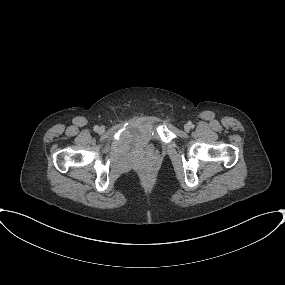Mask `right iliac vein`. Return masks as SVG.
Returning <instances> with one entry per match:
<instances>
[{
  "label": "right iliac vein",
  "instance_id": "1",
  "mask_svg": "<svg viewBox=\"0 0 285 285\" xmlns=\"http://www.w3.org/2000/svg\"><path fill=\"white\" fill-rule=\"evenodd\" d=\"M105 131V128L103 126H101L99 129H98V132L99 133H103Z\"/></svg>",
  "mask_w": 285,
  "mask_h": 285
}]
</instances>
